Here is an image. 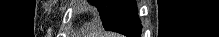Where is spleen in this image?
Wrapping results in <instances>:
<instances>
[{"mask_svg":"<svg viewBox=\"0 0 219 37\" xmlns=\"http://www.w3.org/2000/svg\"><path fill=\"white\" fill-rule=\"evenodd\" d=\"M107 37H119V36H117L116 34H110V35L107 36Z\"/></svg>","mask_w":219,"mask_h":37,"instance_id":"spleen-1","label":"spleen"}]
</instances>
